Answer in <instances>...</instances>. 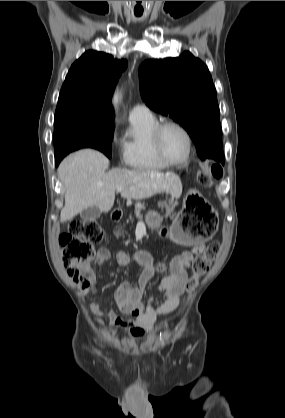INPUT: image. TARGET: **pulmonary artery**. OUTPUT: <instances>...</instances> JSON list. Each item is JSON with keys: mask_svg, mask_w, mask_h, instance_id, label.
<instances>
[{"mask_svg": "<svg viewBox=\"0 0 285 418\" xmlns=\"http://www.w3.org/2000/svg\"><path fill=\"white\" fill-rule=\"evenodd\" d=\"M152 117V113L148 107L142 104L134 105L129 111V119L130 121L139 120V119H150Z\"/></svg>", "mask_w": 285, "mask_h": 418, "instance_id": "obj_1", "label": "pulmonary artery"}]
</instances>
